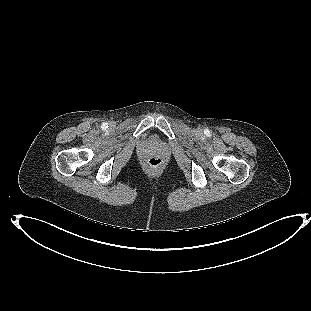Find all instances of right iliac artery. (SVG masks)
Listing matches in <instances>:
<instances>
[{"mask_svg":"<svg viewBox=\"0 0 311 311\" xmlns=\"http://www.w3.org/2000/svg\"><path fill=\"white\" fill-rule=\"evenodd\" d=\"M107 127H108V123H103V124H102V128H103V129H106Z\"/></svg>","mask_w":311,"mask_h":311,"instance_id":"82829eb1","label":"right iliac artery"}]
</instances>
